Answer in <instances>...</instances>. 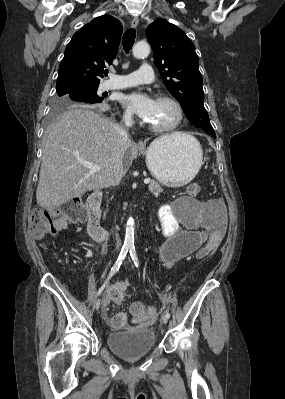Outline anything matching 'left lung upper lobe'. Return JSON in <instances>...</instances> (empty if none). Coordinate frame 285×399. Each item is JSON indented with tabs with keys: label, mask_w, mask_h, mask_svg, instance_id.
Segmentation results:
<instances>
[{
	"label": "left lung upper lobe",
	"mask_w": 285,
	"mask_h": 399,
	"mask_svg": "<svg viewBox=\"0 0 285 399\" xmlns=\"http://www.w3.org/2000/svg\"><path fill=\"white\" fill-rule=\"evenodd\" d=\"M146 36L166 88L180 102L193 125L214 135L203 104V80L193 42L183 30L165 19H157L150 24Z\"/></svg>",
	"instance_id": "1"
}]
</instances>
